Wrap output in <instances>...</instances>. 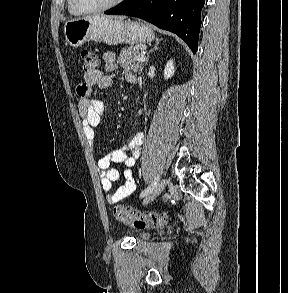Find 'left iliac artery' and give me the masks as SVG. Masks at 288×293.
I'll use <instances>...</instances> for the list:
<instances>
[{
	"label": "left iliac artery",
	"mask_w": 288,
	"mask_h": 293,
	"mask_svg": "<svg viewBox=\"0 0 288 293\" xmlns=\"http://www.w3.org/2000/svg\"><path fill=\"white\" fill-rule=\"evenodd\" d=\"M159 181V176H157L155 178V180L152 182V184L150 186H148L145 190H143L140 194V197H145L146 195H148L158 184Z\"/></svg>",
	"instance_id": "left-iliac-artery-1"
}]
</instances>
